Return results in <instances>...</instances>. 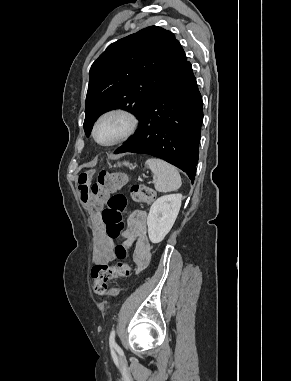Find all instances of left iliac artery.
<instances>
[{
	"label": "left iliac artery",
	"instance_id": "44dca946",
	"mask_svg": "<svg viewBox=\"0 0 291 381\" xmlns=\"http://www.w3.org/2000/svg\"><path fill=\"white\" fill-rule=\"evenodd\" d=\"M109 344H110V347H117V344L115 342V330L114 329L110 333Z\"/></svg>",
	"mask_w": 291,
	"mask_h": 381
}]
</instances>
